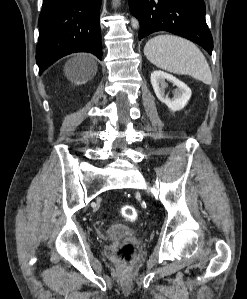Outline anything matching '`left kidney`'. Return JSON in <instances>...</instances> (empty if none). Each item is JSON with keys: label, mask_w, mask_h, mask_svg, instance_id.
<instances>
[{"label": "left kidney", "mask_w": 247, "mask_h": 299, "mask_svg": "<svg viewBox=\"0 0 247 299\" xmlns=\"http://www.w3.org/2000/svg\"><path fill=\"white\" fill-rule=\"evenodd\" d=\"M165 80L173 83L177 87L174 90L172 99L165 96V88L167 87ZM151 84L156 96L167 103L169 109L173 112L183 109L191 97V90L185 83L163 71L157 70L151 74Z\"/></svg>", "instance_id": "left-kidney-1"}]
</instances>
